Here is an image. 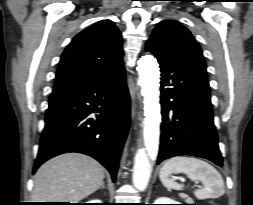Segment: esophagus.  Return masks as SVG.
I'll return each mask as SVG.
<instances>
[{
    "mask_svg": "<svg viewBox=\"0 0 253 205\" xmlns=\"http://www.w3.org/2000/svg\"><path fill=\"white\" fill-rule=\"evenodd\" d=\"M132 117H135V107H133V111H132Z\"/></svg>",
    "mask_w": 253,
    "mask_h": 205,
    "instance_id": "obj_1",
    "label": "esophagus"
}]
</instances>
